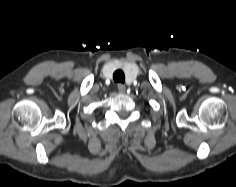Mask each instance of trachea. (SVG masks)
I'll return each mask as SVG.
<instances>
[{"label":"trachea","instance_id":"3493384b","mask_svg":"<svg viewBox=\"0 0 236 187\" xmlns=\"http://www.w3.org/2000/svg\"><path fill=\"white\" fill-rule=\"evenodd\" d=\"M113 80L114 82L124 83L125 81L124 72L122 70H116L113 74Z\"/></svg>","mask_w":236,"mask_h":187}]
</instances>
